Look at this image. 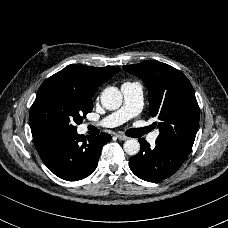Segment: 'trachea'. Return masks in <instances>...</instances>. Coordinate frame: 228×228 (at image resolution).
I'll use <instances>...</instances> for the list:
<instances>
[{
	"label": "trachea",
	"mask_w": 228,
	"mask_h": 228,
	"mask_svg": "<svg viewBox=\"0 0 228 228\" xmlns=\"http://www.w3.org/2000/svg\"><path fill=\"white\" fill-rule=\"evenodd\" d=\"M133 131V134L135 136H142L143 134L147 133L150 131V127H144V128H133L131 129Z\"/></svg>",
	"instance_id": "1"
}]
</instances>
